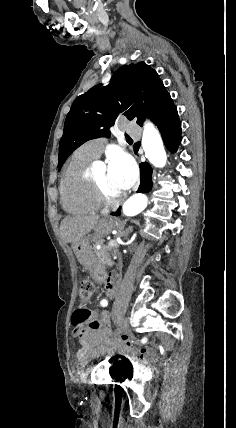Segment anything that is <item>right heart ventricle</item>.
<instances>
[{"label": "right heart ventricle", "mask_w": 236, "mask_h": 428, "mask_svg": "<svg viewBox=\"0 0 236 428\" xmlns=\"http://www.w3.org/2000/svg\"><path fill=\"white\" fill-rule=\"evenodd\" d=\"M94 160L87 155L84 145L73 153L67 164L60 182V196L68 212L95 213L101 208L88 174Z\"/></svg>", "instance_id": "obj_1"}]
</instances>
